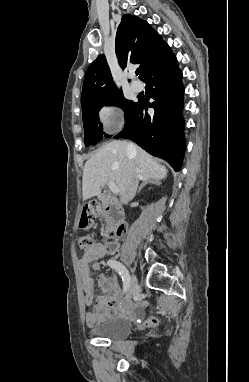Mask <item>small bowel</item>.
<instances>
[{"instance_id": "c3829d8e", "label": "small bowel", "mask_w": 249, "mask_h": 382, "mask_svg": "<svg viewBox=\"0 0 249 382\" xmlns=\"http://www.w3.org/2000/svg\"><path fill=\"white\" fill-rule=\"evenodd\" d=\"M119 249L120 244L118 242L109 244L95 242L89 250L84 251L78 260L84 301L87 305H91L94 302V281L91 276L92 269H99V260L107 254H116ZM97 282L103 294L97 298L93 310L86 314V324L88 326H94L102 320L113 316H132L141 309L139 303L120 298L119 284L115 276L99 274Z\"/></svg>"}]
</instances>
